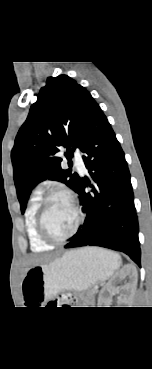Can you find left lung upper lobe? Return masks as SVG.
<instances>
[{
    "label": "left lung upper lobe",
    "instance_id": "5c2ea615",
    "mask_svg": "<svg viewBox=\"0 0 152 369\" xmlns=\"http://www.w3.org/2000/svg\"><path fill=\"white\" fill-rule=\"evenodd\" d=\"M98 107L91 94L69 76L47 79L11 152L22 213L31 190L45 179L63 182L75 191L80 177L71 169L63 170L62 159L56 154L65 147V156L70 159L72 151L81 148Z\"/></svg>",
    "mask_w": 152,
    "mask_h": 369
}]
</instances>
